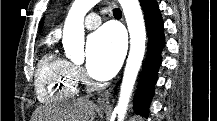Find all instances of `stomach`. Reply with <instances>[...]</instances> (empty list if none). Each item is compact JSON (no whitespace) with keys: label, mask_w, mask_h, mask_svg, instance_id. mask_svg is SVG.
<instances>
[{"label":"stomach","mask_w":217,"mask_h":121,"mask_svg":"<svg viewBox=\"0 0 217 121\" xmlns=\"http://www.w3.org/2000/svg\"><path fill=\"white\" fill-rule=\"evenodd\" d=\"M99 110H103V108H99Z\"/></svg>","instance_id":"stomach-1"}]
</instances>
